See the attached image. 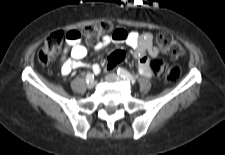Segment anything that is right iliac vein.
I'll list each match as a JSON object with an SVG mask.
<instances>
[{"instance_id":"63e3f726","label":"right iliac vein","mask_w":225,"mask_h":155,"mask_svg":"<svg viewBox=\"0 0 225 155\" xmlns=\"http://www.w3.org/2000/svg\"><path fill=\"white\" fill-rule=\"evenodd\" d=\"M94 85H95V81L94 80H92V81H90V82L87 83V87L89 89H92L94 87Z\"/></svg>"}]
</instances>
